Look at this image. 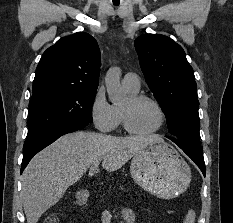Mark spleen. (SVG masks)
<instances>
[{
    "label": "spleen",
    "mask_w": 233,
    "mask_h": 223,
    "mask_svg": "<svg viewBox=\"0 0 233 223\" xmlns=\"http://www.w3.org/2000/svg\"><path fill=\"white\" fill-rule=\"evenodd\" d=\"M196 217V213L194 209H188L186 213V217L184 219V223H194Z\"/></svg>",
    "instance_id": "obj_1"
}]
</instances>
